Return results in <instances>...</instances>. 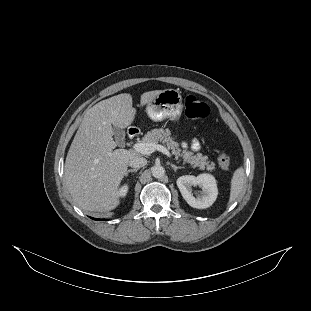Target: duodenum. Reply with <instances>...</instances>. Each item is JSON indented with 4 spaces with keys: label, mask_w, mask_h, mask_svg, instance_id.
<instances>
[{
    "label": "duodenum",
    "mask_w": 311,
    "mask_h": 311,
    "mask_svg": "<svg viewBox=\"0 0 311 311\" xmlns=\"http://www.w3.org/2000/svg\"><path fill=\"white\" fill-rule=\"evenodd\" d=\"M139 134V129L136 127H130L128 129V138L134 139Z\"/></svg>",
    "instance_id": "obj_1"
}]
</instances>
